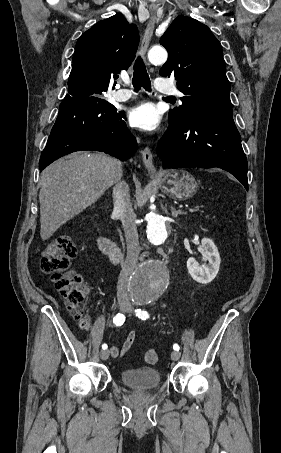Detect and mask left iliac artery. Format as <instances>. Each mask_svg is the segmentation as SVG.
Masks as SVG:
<instances>
[{"label":"left iliac artery","mask_w":281,"mask_h":453,"mask_svg":"<svg viewBox=\"0 0 281 453\" xmlns=\"http://www.w3.org/2000/svg\"><path fill=\"white\" fill-rule=\"evenodd\" d=\"M135 312H136V316H138L142 320H146L147 318H149V315L146 311H141V309H137V310H135ZM173 349L175 351H179V346L177 344H174Z\"/></svg>","instance_id":"left-iliac-artery-1"}]
</instances>
